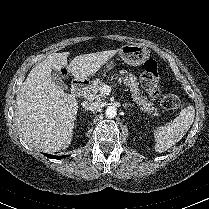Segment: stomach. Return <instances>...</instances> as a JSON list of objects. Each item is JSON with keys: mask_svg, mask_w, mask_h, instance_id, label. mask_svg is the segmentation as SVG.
Masks as SVG:
<instances>
[{"mask_svg": "<svg viewBox=\"0 0 209 209\" xmlns=\"http://www.w3.org/2000/svg\"><path fill=\"white\" fill-rule=\"evenodd\" d=\"M120 57L131 66H139L145 63L150 56V51L140 44H127L120 48ZM112 67V63L106 65V70Z\"/></svg>", "mask_w": 209, "mask_h": 209, "instance_id": "0dacf381", "label": "stomach"}]
</instances>
